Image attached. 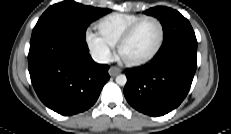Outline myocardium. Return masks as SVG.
Masks as SVG:
<instances>
[{"mask_svg": "<svg viewBox=\"0 0 231 134\" xmlns=\"http://www.w3.org/2000/svg\"><path fill=\"white\" fill-rule=\"evenodd\" d=\"M145 21H153L158 25L159 30H160V37H159L158 44H157L156 48L153 50V52L150 55H148L147 57L140 59V60H135V61H127L126 60L125 63L128 66L138 67V66H142V65L149 63L150 61H152L156 57V55L159 53V51L161 50V48L163 46L165 33H164V27H163L162 22L154 16H142L136 22H134L123 33V35L119 39V41L117 43L118 53L121 54V50H122L123 46L131 39V37L134 35V33L136 32L138 27Z\"/></svg>", "mask_w": 231, "mask_h": 134, "instance_id": "f54148a6", "label": "myocardium"}]
</instances>
